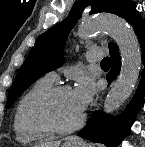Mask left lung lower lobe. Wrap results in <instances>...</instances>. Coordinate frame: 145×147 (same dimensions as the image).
Returning a JSON list of instances; mask_svg holds the SVG:
<instances>
[{"label":"left lung lower lobe","instance_id":"left-lung-lower-lobe-1","mask_svg":"<svg viewBox=\"0 0 145 147\" xmlns=\"http://www.w3.org/2000/svg\"><path fill=\"white\" fill-rule=\"evenodd\" d=\"M137 34L142 50V60L145 66V21L141 18L133 2L129 4L123 14ZM113 66L106 76L108 83H112L121 68L119 51L114 43L109 44ZM145 93V67L142 70L138 89L125 111L116 118H111L101 111H95L87 125L78 133L82 138L92 142L104 143L107 147H116L120 140L129 134L133 119L143 103Z\"/></svg>","mask_w":145,"mask_h":147}]
</instances>
